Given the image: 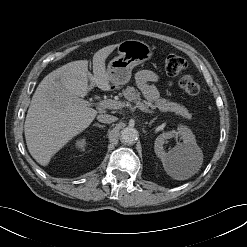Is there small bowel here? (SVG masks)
I'll return each mask as SVG.
<instances>
[{
	"label": "small bowel",
	"mask_w": 247,
	"mask_h": 247,
	"mask_svg": "<svg viewBox=\"0 0 247 247\" xmlns=\"http://www.w3.org/2000/svg\"><path fill=\"white\" fill-rule=\"evenodd\" d=\"M158 79V74L152 70H141L136 74V85L148 101H155L159 96L157 89L150 84Z\"/></svg>",
	"instance_id": "obj_1"
}]
</instances>
